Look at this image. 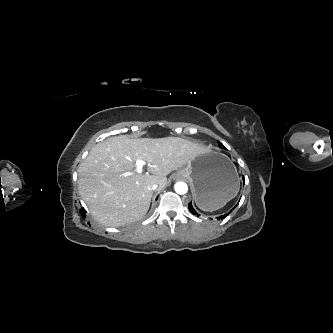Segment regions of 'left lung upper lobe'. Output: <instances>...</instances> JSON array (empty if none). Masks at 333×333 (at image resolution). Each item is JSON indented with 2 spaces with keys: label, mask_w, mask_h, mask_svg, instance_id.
Here are the masks:
<instances>
[{
  "label": "left lung upper lobe",
  "mask_w": 333,
  "mask_h": 333,
  "mask_svg": "<svg viewBox=\"0 0 333 333\" xmlns=\"http://www.w3.org/2000/svg\"><path fill=\"white\" fill-rule=\"evenodd\" d=\"M219 146H220L221 148H225L221 142H219Z\"/></svg>",
  "instance_id": "left-lung-upper-lobe-1"
}]
</instances>
